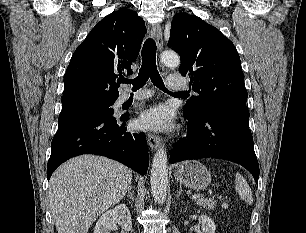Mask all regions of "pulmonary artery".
<instances>
[{
	"instance_id": "e3ab8cb5",
	"label": "pulmonary artery",
	"mask_w": 306,
	"mask_h": 233,
	"mask_svg": "<svg viewBox=\"0 0 306 233\" xmlns=\"http://www.w3.org/2000/svg\"><path fill=\"white\" fill-rule=\"evenodd\" d=\"M168 87L170 90L173 91H185L188 89L186 81L177 76H169L168 77ZM152 95V92H139L134 95H130L128 93H121V95L117 99V104H123L124 102L128 101L129 99H133L134 101L143 100Z\"/></svg>"
}]
</instances>
